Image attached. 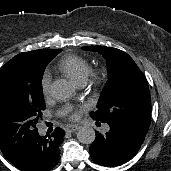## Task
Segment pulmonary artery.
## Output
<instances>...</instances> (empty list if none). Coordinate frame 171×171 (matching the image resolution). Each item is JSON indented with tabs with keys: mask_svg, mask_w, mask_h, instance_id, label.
<instances>
[{
	"mask_svg": "<svg viewBox=\"0 0 171 171\" xmlns=\"http://www.w3.org/2000/svg\"><path fill=\"white\" fill-rule=\"evenodd\" d=\"M106 130L108 129V125H105V127H104Z\"/></svg>",
	"mask_w": 171,
	"mask_h": 171,
	"instance_id": "obj_1",
	"label": "pulmonary artery"
}]
</instances>
